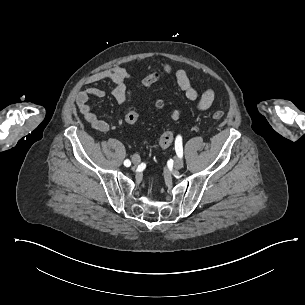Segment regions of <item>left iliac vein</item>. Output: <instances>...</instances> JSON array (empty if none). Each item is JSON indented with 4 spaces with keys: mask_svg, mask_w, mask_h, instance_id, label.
Segmentation results:
<instances>
[{
    "mask_svg": "<svg viewBox=\"0 0 305 305\" xmlns=\"http://www.w3.org/2000/svg\"><path fill=\"white\" fill-rule=\"evenodd\" d=\"M183 167V159L182 157H176L174 160V166L173 168L175 170H180Z\"/></svg>",
    "mask_w": 305,
    "mask_h": 305,
    "instance_id": "4c4485c4",
    "label": "left iliac vein"
}]
</instances>
